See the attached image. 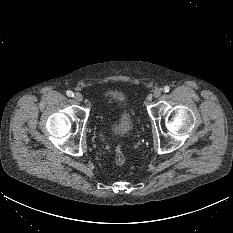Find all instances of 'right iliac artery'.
I'll return each mask as SVG.
<instances>
[{
	"label": "right iliac artery",
	"mask_w": 233,
	"mask_h": 233,
	"mask_svg": "<svg viewBox=\"0 0 233 233\" xmlns=\"http://www.w3.org/2000/svg\"><path fill=\"white\" fill-rule=\"evenodd\" d=\"M66 94H67L68 97H73V96H74L73 92L70 91V90H68V91L66 92Z\"/></svg>",
	"instance_id": "obj_1"
}]
</instances>
